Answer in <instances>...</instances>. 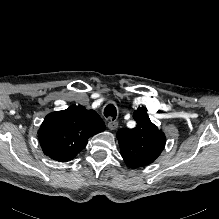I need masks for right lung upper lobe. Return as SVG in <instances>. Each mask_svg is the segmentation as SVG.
Listing matches in <instances>:
<instances>
[{
  "mask_svg": "<svg viewBox=\"0 0 219 219\" xmlns=\"http://www.w3.org/2000/svg\"><path fill=\"white\" fill-rule=\"evenodd\" d=\"M105 130V123L94 110L75 104L66 110L48 114L38 137L45 155L59 162L72 160L88 138Z\"/></svg>",
  "mask_w": 219,
  "mask_h": 219,
  "instance_id": "cb5924a9",
  "label": "right lung upper lobe"
}]
</instances>
